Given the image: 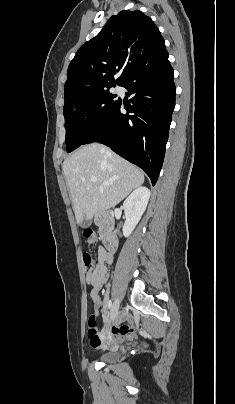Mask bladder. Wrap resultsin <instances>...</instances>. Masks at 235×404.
Wrapping results in <instances>:
<instances>
[{"instance_id":"1","label":"bladder","mask_w":235,"mask_h":404,"mask_svg":"<svg viewBox=\"0 0 235 404\" xmlns=\"http://www.w3.org/2000/svg\"><path fill=\"white\" fill-rule=\"evenodd\" d=\"M119 352L118 351H107L102 353L99 356L100 361L105 362V363H113L118 361L119 359Z\"/></svg>"}]
</instances>
